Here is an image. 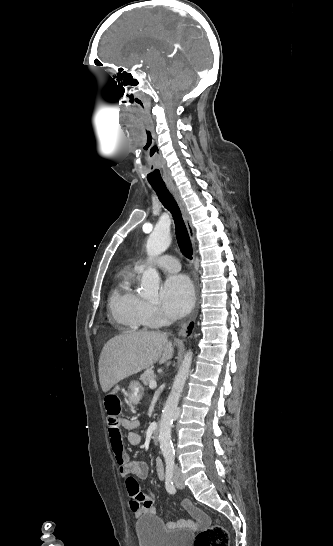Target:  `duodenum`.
<instances>
[{"label": "duodenum", "mask_w": 333, "mask_h": 546, "mask_svg": "<svg viewBox=\"0 0 333 546\" xmlns=\"http://www.w3.org/2000/svg\"><path fill=\"white\" fill-rule=\"evenodd\" d=\"M152 439L155 443L159 442L160 434H159V426L155 425L152 431Z\"/></svg>", "instance_id": "duodenum-1"}]
</instances>
